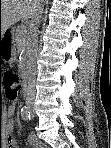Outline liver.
Returning <instances> with one entry per match:
<instances>
[{
    "mask_svg": "<svg viewBox=\"0 0 111 148\" xmlns=\"http://www.w3.org/2000/svg\"><path fill=\"white\" fill-rule=\"evenodd\" d=\"M39 0H1L0 1V30L5 31L21 19L28 20L35 11Z\"/></svg>",
    "mask_w": 111,
    "mask_h": 148,
    "instance_id": "obj_1",
    "label": "liver"
}]
</instances>
